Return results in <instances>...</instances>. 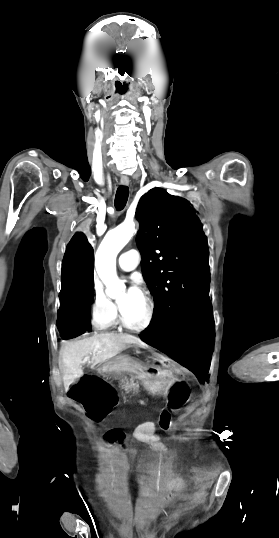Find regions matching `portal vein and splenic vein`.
<instances>
[{
  "label": "portal vein and splenic vein",
  "instance_id": "portal-vein-and-splenic-vein-1",
  "mask_svg": "<svg viewBox=\"0 0 279 538\" xmlns=\"http://www.w3.org/2000/svg\"><path fill=\"white\" fill-rule=\"evenodd\" d=\"M90 356H87V358H85V360H89Z\"/></svg>",
  "mask_w": 279,
  "mask_h": 538
}]
</instances>
